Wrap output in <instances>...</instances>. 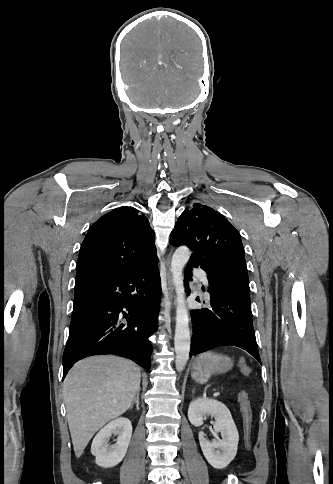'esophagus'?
<instances>
[{
  "mask_svg": "<svg viewBox=\"0 0 333 484\" xmlns=\"http://www.w3.org/2000/svg\"><path fill=\"white\" fill-rule=\"evenodd\" d=\"M168 289H169V294H170V301H171V304L173 302V286H172V282H171V279L169 277L168 279ZM165 317H170V312H169V308L167 306V304H164V309H163V312H162Z\"/></svg>",
  "mask_w": 333,
  "mask_h": 484,
  "instance_id": "1",
  "label": "esophagus"
}]
</instances>
